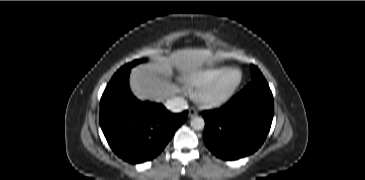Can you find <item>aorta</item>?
Here are the masks:
<instances>
[{
    "label": "aorta",
    "instance_id": "762f6f07",
    "mask_svg": "<svg viewBox=\"0 0 365 180\" xmlns=\"http://www.w3.org/2000/svg\"><path fill=\"white\" fill-rule=\"evenodd\" d=\"M190 125L194 130H202L205 126V121L201 117H193Z\"/></svg>",
    "mask_w": 365,
    "mask_h": 180
}]
</instances>
